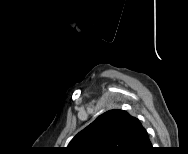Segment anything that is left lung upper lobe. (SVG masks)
<instances>
[{
  "label": "left lung upper lobe",
  "instance_id": "left-lung-upper-lobe-1",
  "mask_svg": "<svg viewBox=\"0 0 188 154\" xmlns=\"http://www.w3.org/2000/svg\"><path fill=\"white\" fill-rule=\"evenodd\" d=\"M136 118L124 110H110L79 132L67 149L76 154H127Z\"/></svg>",
  "mask_w": 188,
  "mask_h": 154
}]
</instances>
